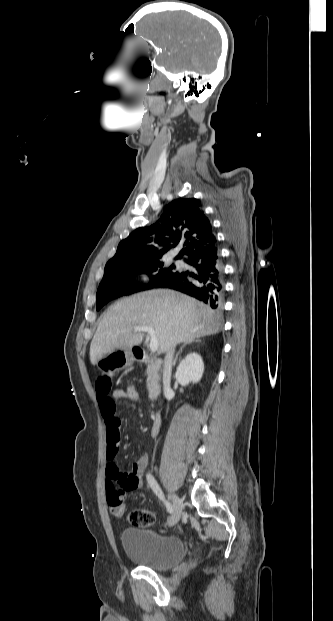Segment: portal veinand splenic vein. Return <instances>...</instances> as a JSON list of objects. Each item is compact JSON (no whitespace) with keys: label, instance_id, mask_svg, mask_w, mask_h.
<instances>
[{"label":"portal vein and splenic vein","instance_id":"1","mask_svg":"<svg viewBox=\"0 0 333 621\" xmlns=\"http://www.w3.org/2000/svg\"><path fill=\"white\" fill-rule=\"evenodd\" d=\"M133 330L135 332H140V331L147 332L149 334V336H150V344H149L150 350H151V352H156V350L158 349V346H159V340H158V337L155 335V331H154V329L152 327H148V326H135L133 328Z\"/></svg>","mask_w":333,"mask_h":621}]
</instances>
